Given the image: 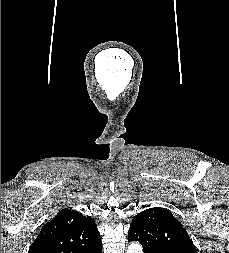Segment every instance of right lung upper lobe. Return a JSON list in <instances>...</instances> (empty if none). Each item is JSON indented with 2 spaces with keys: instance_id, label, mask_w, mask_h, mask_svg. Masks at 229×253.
Wrapping results in <instances>:
<instances>
[{
  "instance_id": "obj_1",
  "label": "right lung upper lobe",
  "mask_w": 229,
  "mask_h": 253,
  "mask_svg": "<svg viewBox=\"0 0 229 253\" xmlns=\"http://www.w3.org/2000/svg\"><path fill=\"white\" fill-rule=\"evenodd\" d=\"M100 245L95 221L67 208L43 226L28 253H89Z\"/></svg>"
}]
</instances>
